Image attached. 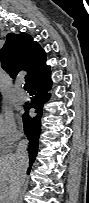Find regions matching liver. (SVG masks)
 Instances as JSON below:
<instances>
[{"mask_svg": "<svg viewBox=\"0 0 89 203\" xmlns=\"http://www.w3.org/2000/svg\"><path fill=\"white\" fill-rule=\"evenodd\" d=\"M19 166L15 154L0 156V194L6 203H13L14 192L20 180Z\"/></svg>", "mask_w": 89, "mask_h": 203, "instance_id": "6515ba94", "label": "liver"}]
</instances>
